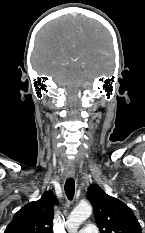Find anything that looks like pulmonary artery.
<instances>
[{
    "label": "pulmonary artery",
    "mask_w": 145,
    "mask_h": 233,
    "mask_svg": "<svg viewBox=\"0 0 145 233\" xmlns=\"http://www.w3.org/2000/svg\"><path fill=\"white\" fill-rule=\"evenodd\" d=\"M79 233H98V229L95 225H88L85 228L79 230Z\"/></svg>",
    "instance_id": "obj_1"
}]
</instances>
